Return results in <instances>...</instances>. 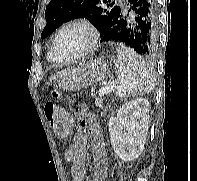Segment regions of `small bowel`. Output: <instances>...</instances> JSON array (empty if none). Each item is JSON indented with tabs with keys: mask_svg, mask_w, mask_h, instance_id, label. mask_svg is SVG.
I'll return each mask as SVG.
<instances>
[{
	"mask_svg": "<svg viewBox=\"0 0 197 181\" xmlns=\"http://www.w3.org/2000/svg\"><path fill=\"white\" fill-rule=\"evenodd\" d=\"M75 116L78 133L64 152L66 161L71 164V181H86L84 163L88 150L93 158L90 181H104L107 174V151L99 124L85 105L76 107Z\"/></svg>",
	"mask_w": 197,
	"mask_h": 181,
	"instance_id": "c3829d8e",
	"label": "small bowel"
}]
</instances>
